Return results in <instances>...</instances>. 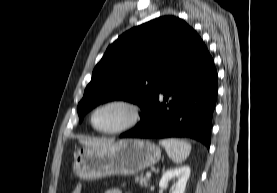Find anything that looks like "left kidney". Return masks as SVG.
I'll return each mask as SVG.
<instances>
[{"label":"left kidney","mask_w":277,"mask_h":193,"mask_svg":"<svg viewBox=\"0 0 277 193\" xmlns=\"http://www.w3.org/2000/svg\"><path fill=\"white\" fill-rule=\"evenodd\" d=\"M190 172V167L187 165L167 170L162 175V178L159 182V186L161 188H165L170 180L177 179L175 187L171 190L170 193H184L187 180L190 176Z\"/></svg>","instance_id":"5707ae66"}]
</instances>
